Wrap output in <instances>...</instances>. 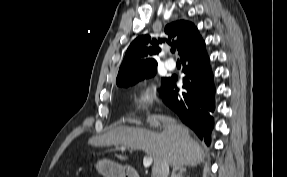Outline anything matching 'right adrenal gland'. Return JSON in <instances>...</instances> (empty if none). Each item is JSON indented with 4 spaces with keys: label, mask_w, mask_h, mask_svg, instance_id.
Returning a JSON list of instances; mask_svg holds the SVG:
<instances>
[{
    "label": "right adrenal gland",
    "mask_w": 287,
    "mask_h": 177,
    "mask_svg": "<svg viewBox=\"0 0 287 177\" xmlns=\"http://www.w3.org/2000/svg\"><path fill=\"white\" fill-rule=\"evenodd\" d=\"M186 172V168L183 166L174 167L170 177H183Z\"/></svg>",
    "instance_id": "obj_1"
}]
</instances>
